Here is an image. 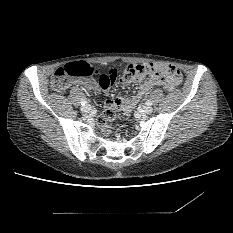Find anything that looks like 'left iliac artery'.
Returning <instances> with one entry per match:
<instances>
[{"mask_svg":"<svg viewBox=\"0 0 233 233\" xmlns=\"http://www.w3.org/2000/svg\"><path fill=\"white\" fill-rule=\"evenodd\" d=\"M146 105L151 106V105H152V102H151L150 100H147V101H146Z\"/></svg>","mask_w":233,"mask_h":233,"instance_id":"44dca946","label":"left iliac artery"}]
</instances>
